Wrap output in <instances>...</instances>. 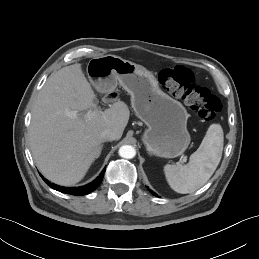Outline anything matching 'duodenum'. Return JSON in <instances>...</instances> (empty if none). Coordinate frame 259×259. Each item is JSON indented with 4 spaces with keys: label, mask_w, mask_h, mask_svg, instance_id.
<instances>
[{
    "label": "duodenum",
    "mask_w": 259,
    "mask_h": 259,
    "mask_svg": "<svg viewBox=\"0 0 259 259\" xmlns=\"http://www.w3.org/2000/svg\"><path fill=\"white\" fill-rule=\"evenodd\" d=\"M114 95H115V94H114V93H112V94H111V97H112V98H114V97H115Z\"/></svg>",
    "instance_id": "duodenum-1"
}]
</instances>
